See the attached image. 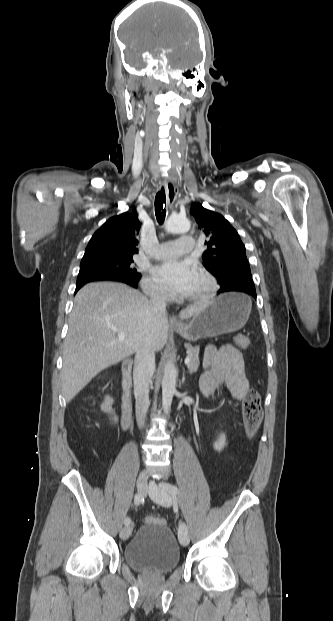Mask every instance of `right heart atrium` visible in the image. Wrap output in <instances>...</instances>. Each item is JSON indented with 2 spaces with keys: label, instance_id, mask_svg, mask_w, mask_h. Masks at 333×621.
<instances>
[{
  "label": "right heart atrium",
  "instance_id": "obj_1",
  "mask_svg": "<svg viewBox=\"0 0 333 621\" xmlns=\"http://www.w3.org/2000/svg\"><path fill=\"white\" fill-rule=\"evenodd\" d=\"M142 288L147 295L154 299L166 300L169 298L168 290L151 276H146L143 279Z\"/></svg>",
  "mask_w": 333,
  "mask_h": 621
}]
</instances>
